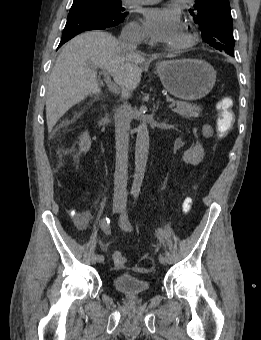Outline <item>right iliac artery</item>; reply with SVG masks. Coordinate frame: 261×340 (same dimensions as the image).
<instances>
[{
  "label": "right iliac artery",
  "instance_id": "1",
  "mask_svg": "<svg viewBox=\"0 0 261 340\" xmlns=\"http://www.w3.org/2000/svg\"><path fill=\"white\" fill-rule=\"evenodd\" d=\"M100 227L102 229V231L106 234V235H110L111 234V228H110V219L108 217H104L101 221H100ZM97 262L98 263H104L105 262V258L104 255H97Z\"/></svg>",
  "mask_w": 261,
  "mask_h": 340
}]
</instances>
